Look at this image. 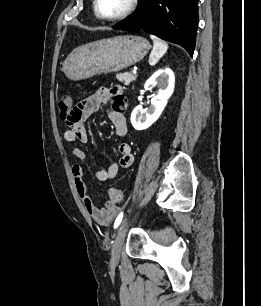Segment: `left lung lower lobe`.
Masks as SVG:
<instances>
[{
	"instance_id": "left-lung-lower-lobe-1",
	"label": "left lung lower lobe",
	"mask_w": 261,
	"mask_h": 306,
	"mask_svg": "<svg viewBox=\"0 0 261 306\" xmlns=\"http://www.w3.org/2000/svg\"><path fill=\"white\" fill-rule=\"evenodd\" d=\"M197 24L198 0H139L137 10L113 28L144 30L181 45L192 56Z\"/></svg>"
}]
</instances>
